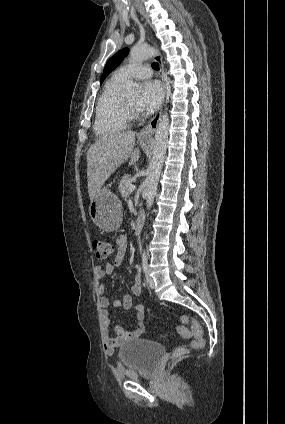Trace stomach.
I'll list each match as a JSON object with an SVG mask.
<instances>
[{"instance_id":"stomach-1","label":"stomach","mask_w":285,"mask_h":424,"mask_svg":"<svg viewBox=\"0 0 285 424\" xmlns=\"http://www.w3.org/2000/svg\"><path fill=\"white\" fill-rule=\"evenodd\" d=\"M89 215L94 224L102 231H114L122 223L121 201L109 188L104 187L90 202Z\"/></svg>"}]
</instances>
